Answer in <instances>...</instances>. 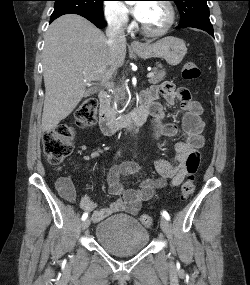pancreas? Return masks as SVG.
Masks as SVG:
<instances>
[{
  "label": "pancreas",
  "instance_id": "obj_1",
  "mask_svg": "<svg viewBox=\"0 0 250 285\" xmlns=\"http://www.w3.org/2000/svg\"><path fill=\"white\" fill-rule=\"evenodd\" d=\"M154 73L153 77H151L148 81L150 84H158L166 77V73L163 70H158L157 68H153ZM125 99V92H124V84L122 86H117L113 88V93L106 100L105 109L109 112L112 116L117 114L116 108L119 102H122Z\"/></svg>",
  "mask_w": 250,
  "mask_h": 285
}]
</instances>
